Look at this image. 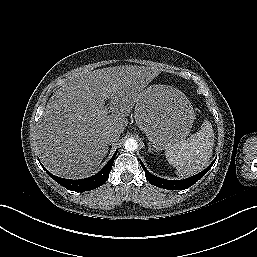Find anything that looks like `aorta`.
Wrapping results in <instances>:
<instances>
[{"mask_svg": "<svg viewBox=\"0 0 257 257\" xmlns=\"http://www.w3.org/2000/svg\"><path fill=\"white\" fill-rule=\"evenodd\" d=\"M124 147L127 151H135L138 147L137 141L134 138H129L125 141Z\"/></svg>", "mask_w": 257, "mask_h": 257, "instance_id": "762f6f07", "label": "aorta"}]
</instances>
